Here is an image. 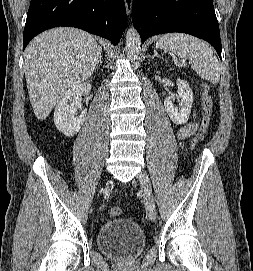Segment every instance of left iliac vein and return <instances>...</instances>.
<instances>
[{
    "label": "left iliac vein",
    "instance_id": "left-iliac-vein-1",
    "mask_svg": "<svg viewBox=\"0 0 253 271\" xmlns=\"http://www.w3.org/2000/svg\"><path fill=\"white\" fill-rule=\"evenodd\" d=\"M138 180L140 183V189L143 195L147 215L151 221H155L156 219L155 202L152 196L151 183L147 173L145 171H141L140 174L138 175Z\"/></svg>",
    "mask_w": 253,
    "mask_h": 271
}]
</instances>
